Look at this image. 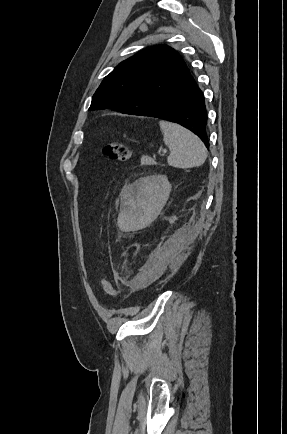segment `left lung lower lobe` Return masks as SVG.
Returning a JSON list of instances; mask_svg holds the SVG:
<instances>
[{
    "instance_id": "left-lung-lower-lobe-1",
    "label": "left lung lower lobe",
    "mask_w": 287,
    "mask_h": 434,
    "mask_svg": "<svg viewBox=\"0 0 287 434\" xmlns=\"http://www.w3.org/2000/svg\"><path fill=\"white\" fill-rule=\"evenodd\" d=\"M135 115L156 117L178 123L195 133L209 148L206 130L207 114L203 92L189 74L175 89L156 104Z\"/></svg>"
}]
</instances>
